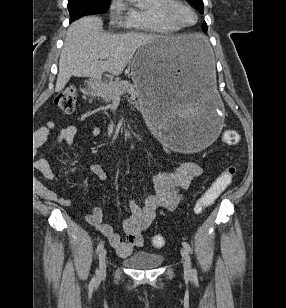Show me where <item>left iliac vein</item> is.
I'll return each instance as SVG.
<instances>
[{
    "label": "left iliac vein",
    "instance_id": "obj_1",
    "mask_svg": "<svg viewBox=\"0 0 286 308\" xmlns=\"http://www.w3.org/2000/svg\"><path fill=\"white\" fill-rule=\"evenodd\" d=\"M181 256L183 259L184 273L186 276H191L193 273L192 263L188 251L185 248L181 249Z\"/></svg>",
    "mask_w": 286,
    "mask_h": 308
}]
</instances>
